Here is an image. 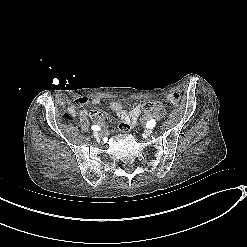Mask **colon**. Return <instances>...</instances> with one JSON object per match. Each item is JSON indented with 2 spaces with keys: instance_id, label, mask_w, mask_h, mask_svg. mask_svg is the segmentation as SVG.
<instances>
[{
  "instance_id": "colon-1",
  "label": "colon",
  "mask_w": 247,
  "mask_h": 247,
  "mask_svg": "<svg viewBox=\"0 0 247 247\" xmlns=\"http://www.w3.org/2000/svg\"><path fill=\"white\" fill-rule=\"evenodd\" d=\"M164 103L160 101H146L143 104V109L146 112H157L161 111L164 108ZM64 119L67 122H72L74 120V117L68 113L64 114Z\"/></svg>"
}]
</instances>
